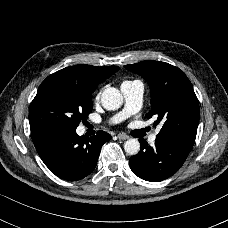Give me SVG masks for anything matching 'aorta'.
Wrapping results in <instances>:
<instances>
[{"instance_id": "1", "label": "aorta", "mask_w": 228, "mask_h": 228, "mask_svg": "<svg viewBox=\"0 0 228 228\" xmlns=\"http://www.w3.org/2000/svg\"><path fill=\"white\" fill-rule=\"evenodd\" d=\"M102 105L106 110H117L123 104L121 92L114 87L106 88L101 96ZM126 153L135 155L140 150V143L137 139H128L124 143Z\"/></svg>"}]
</instances>
